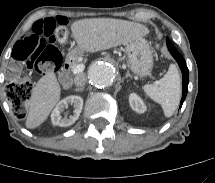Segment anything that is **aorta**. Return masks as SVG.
Instances as JSON below:
<instances>
[{
	"mask_svg": "<svg viewBox=\"0 0 215 183\" xmlns=\"http://www.w3.org/2000/svg\"><path fill=\"white\" fill-rule=\"evenodd\" d=\"M116 76L115 67L106 61H98L91 65L88 78L97 88H105L112 84Z\"/></svg>",
	"mask_w": 215,
	"mask_h": 183,
	"instance_id": "1",
	"label": "aorta"
}]
</instances>
